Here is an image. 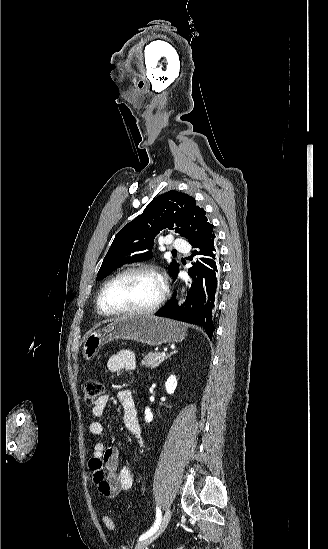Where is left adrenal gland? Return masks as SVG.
Here are the masks:
<instances>
[{
	"mask_svg": "<svg viewBox=\"0 0 328 549\" xmlns=\"http://www.w3.org/2000/svg\"><path fill=\"white\" fill-rule=\"evenodd\" d=\"M174 353H177V351H173V353H170V355H174ZM170 355H168V357H170ZM168 357H165V359H168Z\"/></svg>",
	"mask_w": 328,
	"mask_h": 549,
	"instance_id": "left-adrenal-gland-1",
	"label": "left adrenal gland"
}]
</instances>
